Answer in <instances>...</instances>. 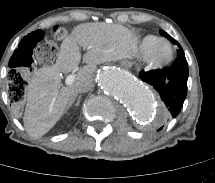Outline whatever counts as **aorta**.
<instances>
[{
    "label": "aorta",
    "instance_id": "obj_1",
    "mask_svg": "<svg viewBox=\"0 0 215 183\" xmlns=\"http://www.w3.org/2000/svg\"><path fill=\"white\" fill-rule=\"evenodd\" d=\"M97 83L105 94L129 108L139 121L155 124L162 120L164 110L147 87L129 73L106 67L99 71Z\"/></svg>",
    "mask_w": 215,
    "mask_h": 183
}]
</instances>
